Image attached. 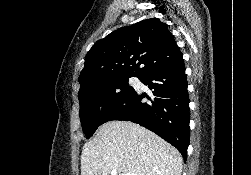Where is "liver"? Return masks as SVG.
<instances>
[{"instance_id":"6515ba94","label":"liver","mask_w":251,"mask_h":175,"mask_svg":"<svg viewBox=\"0 0 251 175\" xmlns=\"http://www.w3.org/2000/svg\"><path fill=\"white\" fill-rule=\"evenodd\" d=\"M182 157L159 135L132 121H108L95 137L86 141L81 153V175L144 173L181 175Z\"/></svg>"}]
</instances>
